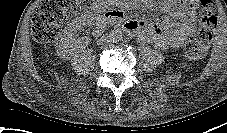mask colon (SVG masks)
Returning a JSON list of instances; mask_svg holds the SVG:
<instances>
[{"label":"colon","mask_w":227,"mask_h":133,"mask_svg":"<svg viewBox=\"0 0 227 133\" xmlns=\"http://www.w3.org/2000/svg\"><path fill=\"white\" fill-rule=\"evenodd\" d=\"M77 0H42L32 17L31 34L40 44L52 42L61 31L65 17L74 12ZM200 20L197 33L187 43L186 55L200 59L208 51L212 33L217 26L214 0H199Z\"/></svg>","instance_id":"1"}]
</instances>
